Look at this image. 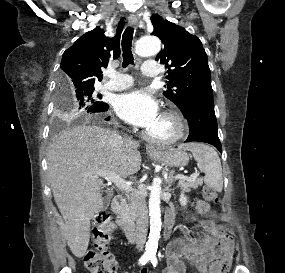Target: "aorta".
I'll return each mask as SVG.
<instances>
[{"label": "aorta", "mask_w": 285, "mask_h": 273, "mask_svg": "<svg viewBox=\"0 0 285 273\" xmlns=\"http://www.w3.org/2000/svg\"><path fill=\"white\" fill-rule=\"evenodd\" d=\"M161 50V42L157 37H143L135 47V52L141 57L154 56ZM161 179L155 177L150 187L149 216L150 233L146 244V254L155 255L158 248V241L161 231V210H160Z\"/></svg>", "instance_id": "762f6f07"}]
</instances>
